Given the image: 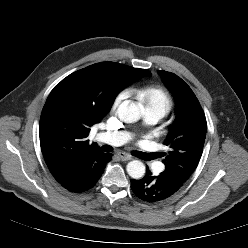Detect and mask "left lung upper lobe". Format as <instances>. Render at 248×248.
<instances>
[{"label":"left lung upper lobe","instance_id":"obj_1","mask_svg":"<svg viewBox=\"0 0 248 248\" xmlns=\"http://www.w3.org/2000/svg\"><path fill=\"white\" fill-rule=\"evenodd\" d=\"M165 85L176 101V119L164 144L170 147L162 172L178 190L196 169L202 155L207 123L190 87L177 75L160 70Z\"/></svg>","mask_w":248,"mask_h":248}]
</instances>
